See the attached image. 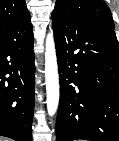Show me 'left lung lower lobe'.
<instances>
[{
  "mask_svg": "<svg viewBox=\"0 0 119 141\" xmlns=\"http://www.w3.org/2000/svg\"><path fill=\"white\" fill-rule=\"evenodd\" d=\"M60 80L56 141H119V44L113 30L52 15Z\"/></svg>",
  "mask_w": 119,
  "mask_h": 141,
  "instance_id": "1",
  "label": "left lung lower lobe"
}]
</instances>
